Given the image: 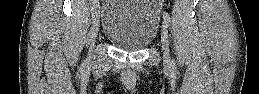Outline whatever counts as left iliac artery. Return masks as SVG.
<instances>
[{
  "label": "left iliac artery",
  "instance_id": "44dca946",
  "mask_svg": "<svg viewBox=\"0 0 259 94\" xmlns=\"http://www.w3.org/2000/svg\"><path fill=\"white\" fill-rule=\"evenodd\" d=\"M163 17H164V20L168 23V26H169L170 15L167 12H163ZM171 66H172V68H175L174 60L171 61Z\"/></svg>",
  "mask_w": 259,
  "mask_h": 94
}]
</instances>
